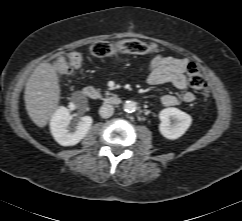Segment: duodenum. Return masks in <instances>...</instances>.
Masks as SVG:
<instances>
[{
  "instance_id": "obj_1",
  "label": "duodenum",
  "mask_w": 242,
  "mask_h": 221,
  "mask_svg": "<svg viewBox=\"0 0 242 221\" xmlns=\"http://www.w3.org/2000/svg\"><path fill=\"white\" fill-rule=\"evenodd\" d=\"M81 92L86 98L94 101H102L110 105H117L120 103L119 97L115 95H104L92 86L84 87Z\"/></svg>"
}]
</instances>
